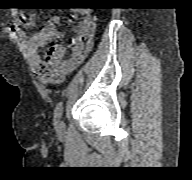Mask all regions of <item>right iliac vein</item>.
I'll list each match as a JSON object with an SVG mask.
<instances>
[{"instance_id":"1","label":"right iliac vein","mask_w":192,"mask_h":180,"mask_svg":"<svg viewBox=\"0 0 192 180\" xmlns=\"http://www.w3.org/2000/svg\"><path fill=\"white\" fill-rule=\"evenodd\" d=\"M57 131L62 132L64 129V124L62 121H58L57 125H56Z\"/></svg>"}]
</instances>
